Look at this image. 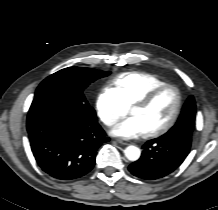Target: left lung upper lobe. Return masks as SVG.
Listing matches in <instances>:
<instances>
[{"label": "left lung upper lobe", "instance_id": "1", "mask_svg": "<svg viewBox=\"0 0 218 210\" xmlns=\"http://www.w3.org/2000/svg\"><path fill=\"white\" fill-rule=\"evenodd\" d=\"M196 105L193 96H190L182 108L177 123L163 136L165 138H176L181 133H187L192 138L195 127Z\"/></svg>", "mask_w": 218, "mask_h": 210}]
</instances>
